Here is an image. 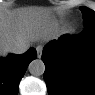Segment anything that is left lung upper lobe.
<instances>
[{
  "mask_svg": "<svg viewBox=\"0 0 95 95\" xmlns=\"http://www.w3.org/2000/svg\"><path fill=\"white\" fill-rule=\"evenodd\" d=\"M83 14L85 28L95 27V12L87 7H80Z\"/></svg>",
  "mask_w": 95,
  "mask_h": 95,
  "instance_id": "left-lung-upper-lobe-1",
  "label": "left lung upper lobe"
}]
</instances>
